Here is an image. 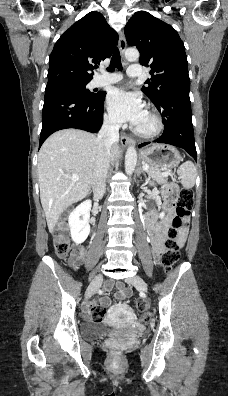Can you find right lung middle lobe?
<instances>
[{"instance_id": "obj_1", "label": "right lung middle lobe", "mask_w": 228, "mask_h": 396, "mask_svg": "<svg viewBox=\"0 0 228 396\" xmlns=\"http://www.w3.org/2000/svg\"><path fill=\"white\" fill-rule=\"evenodd\" d=\"M87 84L88 82H67V83H61L55 85L50 88L68 89L78 93L79 95L83 96L86 99H94L95 97H98L100 93L90 92L88 89H86ZM50 88H46V89H50Z\"/></svg>"}]
</instances>
